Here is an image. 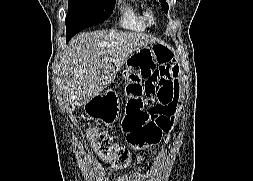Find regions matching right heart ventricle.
Masks as SVG:
<instances>
[{"mask_svg":"<svg viewBox=\"0 0 253 181\" xmlns=\"http://www.w3.org/2000/svg\"><path fill=\"white\" fill-rule=\"evenodd\" d=\"M116 6L122 28L135 32L146 29L145 12L136 0H117Z\"/></svg>","mask_w":253,"mask_h":181,"instance_id":"1","label":"right heart ventricle"}]
</instances>
